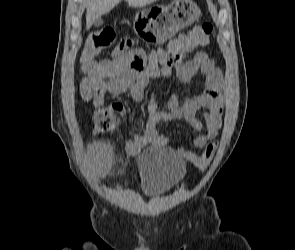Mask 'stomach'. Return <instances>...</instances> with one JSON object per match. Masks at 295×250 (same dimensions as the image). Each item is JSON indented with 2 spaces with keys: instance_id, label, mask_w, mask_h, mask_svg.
I'll list each match as a JSON object with an SVG mask.
<instances>
[{
  "instance_id": "1",
  "label": "stomach",
  "mask_w": 295,
  "mask_h": 250,
  "mask_svg": "<svg viewBox=\"0 0 295 250\" xmlns=\"http://www.w3.org/2000/svg\"><path fill=\"white\" fill-rule=\"evenodd\" d=\"M200 16L201 10L192 0H173L168 5L139 10L134 27L136 35H140V40H148V45H163Z\"/></svg>"
}]
</instances>
